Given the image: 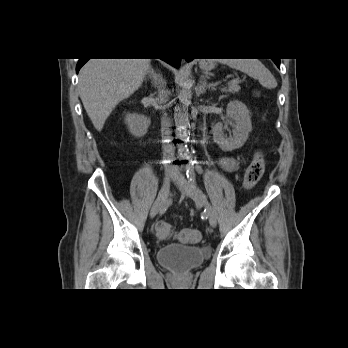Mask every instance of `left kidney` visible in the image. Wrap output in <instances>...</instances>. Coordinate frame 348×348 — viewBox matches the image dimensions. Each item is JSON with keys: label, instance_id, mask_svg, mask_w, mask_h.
<instances>
[{"label": "left kidney", "instance_id": "1", "mask_svg": "<svg viewBox=\"0 0 348 348\" xmlns=\"http://www.w3.org/2000/svg\"><path fill=\"white\" fill-rule=\"evenodd\" d=\"M227 115L233 121L232 136L224 134L227 127L222 123H217L212 128L214 142L225 152L241 148L252 130L250 112L244 103L231 101L227 106Z\"/></svg>", "mask_w": 348, "mask_h": 348}]
</instances>
